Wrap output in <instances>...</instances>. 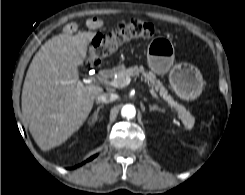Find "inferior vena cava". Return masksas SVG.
<instances>
[{"label": "inferior vena cava", "mask_w": 245, "mask_h": 195, "mask_svg": "<svg viewBox=\"0 0 245 195\" xmlns=\"http://www.w3.org/2000/svg\"><path fill=\"white\" fill-rule=\"evenodd\" d=\"M117 99V95L113 93H101L96 97L97 103H109L115 101Z\"/></svg>", "instance_id": "inferior-vena-cava-1"}]
</instances>
